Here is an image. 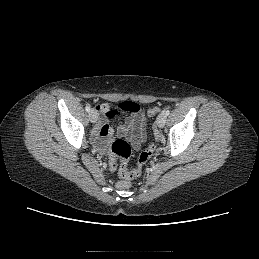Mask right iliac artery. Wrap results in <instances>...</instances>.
Here are the masks:
<instances>
[{
  "instance_id": "obj_1",
  "label": "right iliac artery",
  "mask_w": 259,
  "mask_h": 259,
  "mask_svg": "<svg viewBox=\"0 0 259 259\" xmlns=\"http://www.w3.org/2000/svg\"><path fill=\"white\" fill-rule=\"evenodd\" d=\"M85 109H86L87 112H90V110H91V108H90L89 105H87V106L85 107Z\"/></svg>"
}]
</instances>
